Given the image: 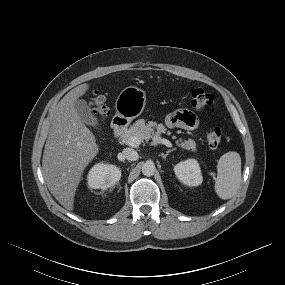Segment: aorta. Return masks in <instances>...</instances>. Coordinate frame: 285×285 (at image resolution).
<instances>
[{
  "label": "aorta",
  "instance_id": "aorta-1",
  "mask_svg": "<svg viewBox=\"0 0 285 285\" xmlns=\"http://www.w3.org/2000/svg\"><path fill=\"white\" fill-rule=\"evenodd\" d=\"M156 167L152 161H147L142 166V173L144 176L150 177L154 175Z\"/></svg>",
  "mask_w": 285,
  "mask_h": 285
}]
</instances>
